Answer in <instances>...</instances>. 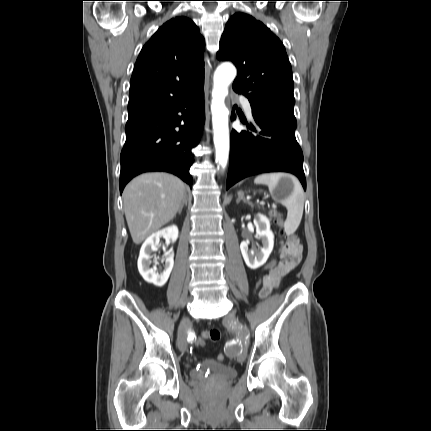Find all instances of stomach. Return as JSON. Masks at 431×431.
I'll list each match as a JSON object with an SVG mask.
<instances>
[{"mask_svg": "<svg viewBox=\"0 0 431 431\" xmlns=\"http://www.w3.org/2000/svg\"><path fill=\"white\" fill-rule=\"evenodd\" d=\"M294 190V183L291 178L284 177L281 178L276 187L273 189H270V193L272 195V198L279 203H285L287 198L291 196Z\"/></svg>", "mask_w": 431, "mask_h": 431, "instance_id": "obj_1", "label": "stomach"}]
</instances>
